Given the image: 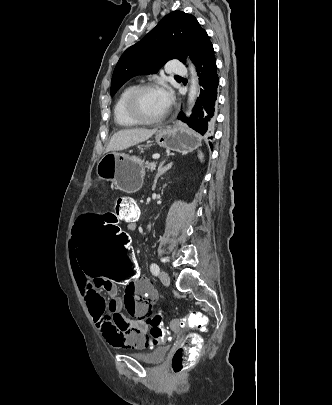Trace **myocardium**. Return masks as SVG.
<instances>
[{"label": "myocardium", "mask_w": 332, "mask_h": 405, "mask_svg": "<svg viewBox=\"0 0 332 405\" xmlns=\"http://www.w3.org/2000/svg\"><path fill=\"white\" fill-rule=\"evenodd\" d=\"M159 89L154 83H145L135 87L128 95L125 101V112L127 116L137 124H155L164 120L169 115V110L163 115L156 118H145L138 110V100L142 93L148 90Z\"/></svg>", "instance_id": "f54148a6"}]
</instances>
